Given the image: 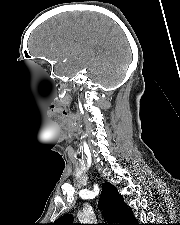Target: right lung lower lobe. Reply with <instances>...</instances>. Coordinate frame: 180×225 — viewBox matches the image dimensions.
Masks as SVG:
<instances>
[{
    "label": "right lung lower lobe",
    "instance_id": "right-lung-lower-lobe-1",
    "mask_svg": "<svg viewBox=\"0 0 180 225\" xmlns=\"http://www.w3.org/2000/svg\"><path fill=\"white\" fill-rule=\"evenodd\" d=\"M132 225H139V224H137V223H135V221L132 223Z\"/></svg>",
    "mask_w": 180,
    "mask_h": 225
}]
</instances>
